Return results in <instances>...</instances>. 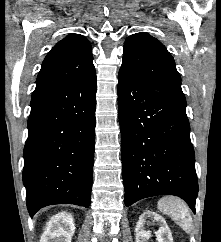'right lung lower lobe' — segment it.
I'll use <instances>...</instances> for the list:
<instances>
[{
	"label": "right lung lower lobe",
	"mask_w": 221,
	"mask_h": 242,
	"mask_svg": "<svg viewBox=\"0 0 221 242\" xmlns=\"http://www.w3.org/2000/svg\"><path fill=\"white\" fill-rule=\"evenodd\" d=\"M95 110V72L70 88L31 99L23 169L31 217L48 205H90Z\"/></svg>",
	"instance_id": "right-lung-lower-lobe-1"
}]
</instances>
